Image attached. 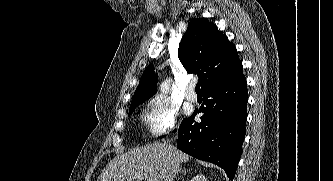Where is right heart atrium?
<instances>
[{"label": "right heart atrium", "instance_id": "obj_1", "mask_svg": "<svg viewBox=\"0 0 333 181\" xmlns=\"http://www.w3.org/2000/svg\"><path fill=\"white\" fill-rule=\"evenodd\" d=\"M178 108L164 96H157L148 103L145 123L152 136H161L176 124Z\"/></svg>", "mask_w": 333, "mask_h": 181}]
</instances>
